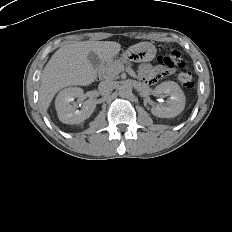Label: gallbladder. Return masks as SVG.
I'll use <instances>...</instances> for the list:
<instances>
[{
  "instance_id": "bac80fb5",
  "label": "gallbladder",
  "mask_w": 232,
  "mask_h": 232,
  "mask_svg": "<svg viewBox=\"0 0 232 232\" xmlns=\"http://www.w3.org/2000/svg\"><path fill=\"white\" fill-rule=\"evenodd\" d=\"M88 60L90 61V63L94 68H98L99 65L101 64V59L99 58V56L92 51L88 53Z\"/></svg>"
}]
</instances>
